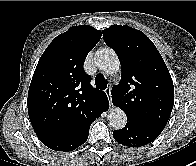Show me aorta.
<instances>
[{"label": "aorta", "mask_w": 196, "mask_h": 166, "mask_svg": "<svg viewBox=\"0 0 196 166\" xmlns=\"http://www.w3.org/2000/svg\"><path fill=\"white\" fill-rule=\"evenodd\" d=\"M97 67L106 74L117 73L120 69V62L117 54L111 48H102L95 53ZM107 120L114 129H122L127 123L125 112L119 107H112L108 111Z\"/></svg>", "instance_id": "762f6f07"}]
</instances>
